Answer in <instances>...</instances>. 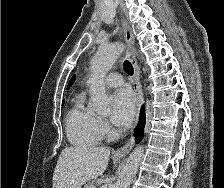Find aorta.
I'll return each mask as SVG.
<instances>
[{"label": "aorta", "instance_id": "762f6f07", "mask_svg": "<svg viewBox=\"0 0 224 188\" xmlns=\"http://www.w3.org/2000/svg\"><path fill=\"white\" fill-rule=\"evenodd\" d=\"M123 49L124 46L121 43L102 45L92 57V76L89 80L91 103L89 107L97 113H104L108 109L109 98L106 94L103 80L120 56ZM143 153L144 149L142 146H138L134 149L116 182L115 188H129L131 181L137 173Z\"/></svg>", "mask_w": 224, "mask_h": 188}]
</instances>
